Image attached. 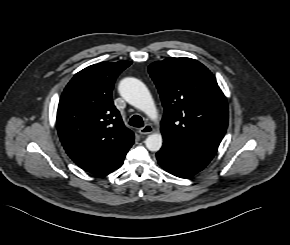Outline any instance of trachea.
<instances>
[{"mask_svg":"<svg viewBox=\"0 0 290 245\" xmlns=\"http://www.w3.org/2000/svg\"><path fill=\"white\" fill-rule=\"evenodd\" d=\"M129 124L134 127H143L144 123L139 115H134L131 117Z\"/></svg>","mask_w":290,"mask_h":245,"instance_id":"3493384b","label":"trachea"}]
</instances>
